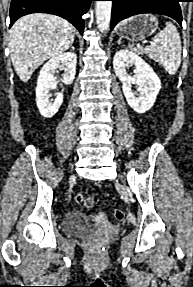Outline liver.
Listing matches in <instances>:
<instances>
[{"instance_id":"obj_1","label":"liver","mask_w":193,"mask_h":287,"mask_svg":"<svg viewBox=\"0 0 193 287\" xmlns=\"http://www.w3.org/2000/svg\"><path fill=\"white\" fill-rule=\"evenodd\" d=\"M75 39V28L65 19L44 13L18 19L9 34L13 67L23 82L50 57L69 49Z\"/></svg>"}]
</instances>
